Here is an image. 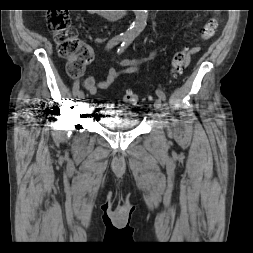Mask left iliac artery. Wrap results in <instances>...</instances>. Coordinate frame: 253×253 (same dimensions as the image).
Instances as JSON below:
<instances>
[{
  "instance_id": "1",
  "label": "left iliac artery",
  "mask_w": 253,
  "mask_h": 253,
  "mask_svg": "<svg viewBox=\"0 0 253 253\" xmlns=\"http://www.w3.org/2000/svg\"><path fill=\"white\" fill-rule=\"evenodd\" d=\"M129 43H130L129 41H124V42L121 44V47L118 49V53H119V54L122 53V52L124 51V49L129 45ZM156 94H157V96H158L161 100H163V101L166 100V96H165V94H164L163 91L157 89V90H156Z\"/></svg>"
}]
</instances>
